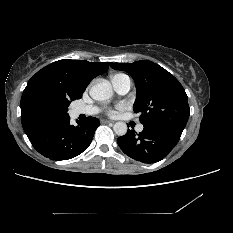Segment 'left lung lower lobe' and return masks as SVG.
<instances>
[{
  "label": "left lung lower lobe",
  "mask_w": 233,
  "mask_h": 233,
  "mask_svg": "<svg viewBox=\"0 0 233 233\" xmlns=\"http://www.w3.org/2000/svg\"><path fill=\"white\" fill-rule=\"evenodd\" d=\"M182 133L144 126L139 134L128 130L117 139L121 150L129 157L143 163L162 160L176 146Z\"/></svg>",
  "instance_id": "left-lung-lower-lobe-1"
}]
</instances>
